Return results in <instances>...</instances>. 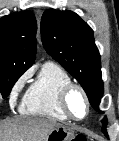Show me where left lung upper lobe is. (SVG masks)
I'll return each instance as SVG.
<instances>
[{
    "instance_id": "1",
    "label": "left lung upper lobe",
    "mask_w": 119,
    "mask_h": 141,
    "mask_svg": "<svg viewBox=\"0 0 119 141\" xmlns=\"http://www.w3.org/2000/svg\"><path fill=\"white\" fill-rule=\"evenodd\" d=\"M42 43L48 54L58 61L82 86L92 107L103 95L101 57L93 30L72 11L46 10L41 19Z\"/></svg>"
}]
</instances>
